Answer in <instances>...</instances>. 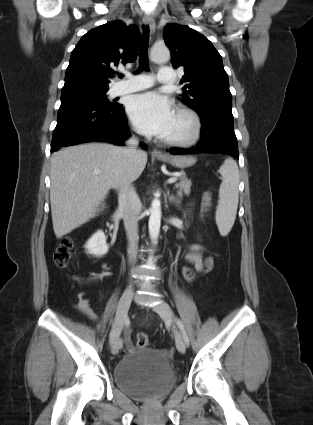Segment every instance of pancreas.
<instances>
[{"mask_svg": "<svg viewBox=\"0 0 313 425\" xmlns=\"http://www.w3.org/2000/svg\"><path fill=\"white\" fill-rule=\"evenodd\" d=\"M192 182L185 177V174H182L180 182L175 184V187L178 188V195L182 197L183 193L189 195L191 191Z\"/></svg>", "mask_w": 313, "mask_h": 425, "instance_id": "cf45deb5", "label": "pancreas"}]
</instances>
